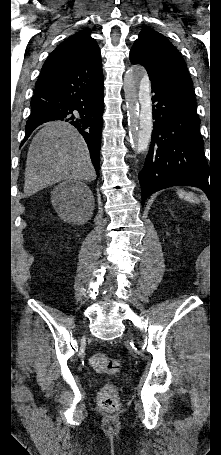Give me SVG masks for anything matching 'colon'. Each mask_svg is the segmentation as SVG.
<instances>
[{"mask_svg": "<svg viewBox=\"0 0 221 455\" xmlns=\"http://www.w3.org/2000/svg\"><path fill=\"white\" fill-rule=\"evenodd\" d=\"M89 362L90 366L98 372L115 373L119 368L117 360L102 353L94 354ZM98 404L104 410H116L119 407L117 388L111 384L104 386L98 394Z\"/></svg>", "mask_w": 221, "mask_h": 455, "instance_id": "obj_1", "label": "colon"}]
</instances>
